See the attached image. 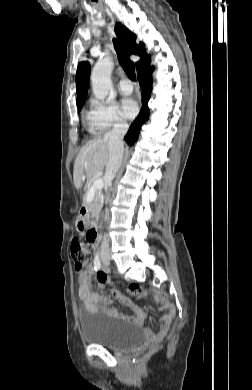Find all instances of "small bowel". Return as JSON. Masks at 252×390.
<instances>
[{"label": "small bowel", "mask_w": 252, "mask_h": 390, "mask_svg": "<svg viewBox=\"0 0 252 390\" xmlns=\"http://www.w3.org/2000/svg\"><path fill=\"white\" fill-rule=\"evenodd\" d=\"M95 265L91 264L86 270L79 273L78 275V297L83 303L85 309L90 312H103L115 319L126 320L129 322L142 323L145 319V313L142 309L135 306L126 296H124L119 290L111 289V294L116 299L120 300L125 306L130 308L135 315H124L119 310L115 308H109L111 304V299L101 295L100 293L94 291L92 287V276L95 273ZM107 284H111V280L108 277L106 272L99 273L98 275V287L104 289ZM135 294L139 298L148 297L149 293L138 291ZM153 297L160 305L161 309L165 311L161 319L160 329L158 333L149 331V336L152 339H157L161 335L165 334L172 322V319L175 315L174 306L166 300L163 296L154 293Z\"/></svg>", "instance_id": "c3829d8e"}]
</instances>
